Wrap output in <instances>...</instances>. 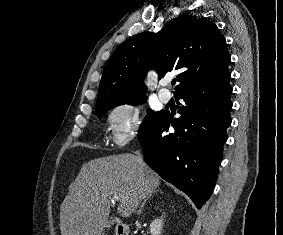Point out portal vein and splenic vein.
Here are the masks:
<instances>
[{
	"instance_id": "obj_1",
	"label": "portal vein and splenic vein",
	"mask_w": 283,
	"mask_h": 235,
	"mask_svg": "<svg viewBox=\"0 0 283 235\" xmlns=\"http://www.w3.org/2000/svg\"><path fill=\"white\" fill-rule=\"evenodd\" d=\"M119 199V196L116 194L112 196V201H119Z\"/></svg>"
}]
</instances>
